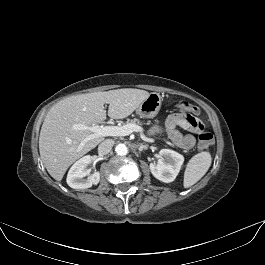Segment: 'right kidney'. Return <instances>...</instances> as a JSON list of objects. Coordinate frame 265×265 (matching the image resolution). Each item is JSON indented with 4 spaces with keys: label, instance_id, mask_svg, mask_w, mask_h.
Returning a JSON list of instances; mask_svg holds the SVG:
<instances>
[{
    "label": "right kidney",
    "instance_id": "obj_1",
    "mask_svg": "<svg viewBox=\"0 0 265 265\" xmlns=\"http://www.w3.org/2000/svg\"><path fill=\"white\" fill-rule=\"evenodd\" d=\"M91 162L92 156L86 155L72 165L67 175V184L71 188L86 189L99 183L100 173L95 171L92 175H90L91 170L87 168Z\"/></svg>",
    "mask_w": 265,
    "mask_h": 265
}]
</instances>
